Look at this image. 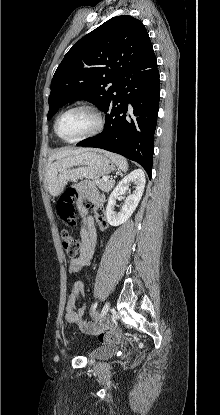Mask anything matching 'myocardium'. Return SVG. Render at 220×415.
Instances as JSON below:
<instances>
[{"label": "myocardium", "mask_w": 220, "mask_h": 415, "mask_svg": "<svg viewBox=\"0 0 220 415\" xmlns=\"http://www.w3.org/2000/svg\"><path fill=\"white\" fill-rule=\"evenodd\" d=\"M75 110H87V111L92 112L96 118V125L90 132H88L87 134L81 137H78L72 140L64 139L58 133V130H57L58 123L65 114L71 111H75ZM104 126H105L104 116H103L101 109L97 105L92 104V103H80V104L69 107L68 109L64 110L58 115V117L56 118L54 122V132L59 139H61L62 141L66 143L72 144V143H77V142L83 141L85 139H88V138H91V137H94L100 134L102 130L104 129Z\"/></svg>", "instance_id": "myocardium-1"}]
</instances>
